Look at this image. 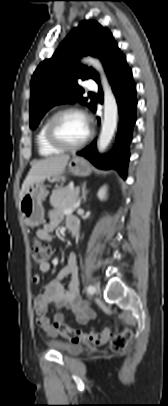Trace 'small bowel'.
I'll list each match as a JSON object with an SVG mask.
<instances>
[{
	"mask_svg": "<svg viewBox=\"0 0 168 406\" xmlns=\"http://www.w3.org/2000/svg\"><path fill=\"white\" fill-rule=\"evenodd\" d=\"M63 219V212L56 209L50 210L49 221L36 233L38 239L42 241H50L52 239V232L61 224ZM70 221H77V219L72 215L66 216L67 227ZM50 268V263L46 262L44 265L40 266V271L46 273ZM67 276L69 277L68 285L67 287H64L62 280ZM32 281L35 284H40V275H33ZM51 302L55 303L57 308L54 314L55 323L63 322L65 320V316L62 312L63 309L69 310L76 321L80 324L87 323L95 316L89 303L83 300L80 296L78 257L75 253L69 255L66 266L58 272L53 280L44 285L43 292L36 295L33 300L37 323L42 330L50 336H57L58 331L47 317L48 304Z\"/></svg>",
	"mask_w": 168,
	"mask_h": 406,
	"instance_id": "1",
	"label": "small bowel"
}]
</instances>
